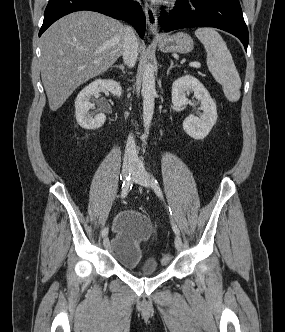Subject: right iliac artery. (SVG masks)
<instances>
[{"label":"right iliac artery","mask_w":285,"mask_h":332,"mask_svg":"<svg viewBox=\"0 0 285 332\" xmlns=\"http://www.w3.org/2000/svg\"><path fill=\"white\" fill-rule=\"evenodd\" d=\"M122 180V177H121ZM132 176L129 174L126 179L123 181L122 184V192H121V198H125L127 196V194L129 193L130 189L132 188ZM108 227H105L102 230V236H106L108 234Z\"/></svg>","instance_id":"82829eb1"}]
</instances>
